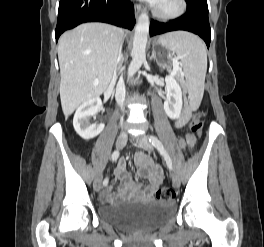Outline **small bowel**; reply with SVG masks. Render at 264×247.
<instances>
[{"label": "small bowel", "instance_id": "small-bowel-1", "mask_svg": "<svg viewBox=\"0 0 264 247\" xmlns=\"http://www.w3.org/2000/svg\"><path fill=\"white\" fill-rule=\"evenodd\" d=\"M189 115V112L184 113V115L176 122V125L178 127L184 125L187 122ZM193 144L194 138L190 135L181 141V145L184 148L192 147ZM135 164L138 168L139 176L148 179L150 182L149 185L142 189L127 172L125 161L121 160L115 170L116 177L121 180L119 195L113 194L111 188H108L100 195V200L102 202H113L120 198L127 197L145 200L153 198L157 188L163 181L162 169L143 152H138L136 154Z\"/></svg>", "mask_w": 264, "mask_h": 247}]
</instances>
